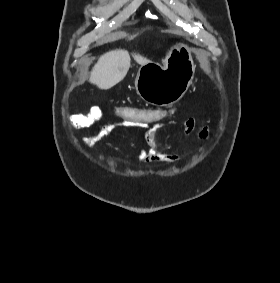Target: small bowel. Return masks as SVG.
I'll use <instances>...</instances> for the list:
<instances>
[{
	"label": "small bowel",
	"instance_id": "c3829d8e",
	"mask_svg": "<svg viewBox=\"0 0 280 283\" xmlns=\"http://www.w3.org/2000/svg\"><path fill=\"white\" fill-rule=\"evenodd\" d=\"M175 112V111H173ZM102 117V111L93 107L85 113L75 115L70 119V124L73 128H86L97 123ZM168 119H165V121ZM174 125L179 127L184 133H190L194 126L195 121L193 118H186L181 121L170 120L164 122H155V125H143L141 122H107L97 132L87 137L86 147L91 148L93 144L113 134L115 128L123 126L125 128H143L146 129L145 140L148 149H141L139 151L140 162L144 165L153 163H166L171 164L178 161V156L158 146L156 141V134L164 125ZM208 136L207 128H201L199 131V138L205 140Z\"/></svg>",
	"mask_w": 280,
	"mask_h": 283
}]
</instances>
